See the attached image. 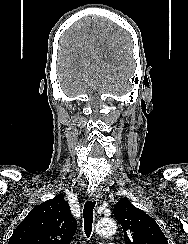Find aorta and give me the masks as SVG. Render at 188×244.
Here are the masks:
<instances>
[{"label":"aorta","mask_w":188,"mask_h":244,"mask_svg":"<svg viewBox=\"0 0 188 244\" xmlns=\"http://www.w3.org/2000/svg\"><path fill=\"white\" fill-rule=\"evenodd\" d=\"M117 231V224L112 218L101 219L96 225V233L100 236H111Z\"/></svg>","instance_id":"762f6f07"}]
</instances>
